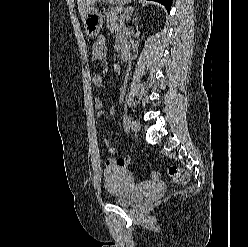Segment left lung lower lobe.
<instances>
[{
    "mask_svg": "<svg viewBox=\"0 0 248 247\" xmlns=\"http://www.w3.org/2000/svg\"><path fill=\"white\" fill-rule=\"evenodd\" d=\"M153 1H157L161 4H163L166 7V9L168 10V12L170 11L172 0H153Z\"/></svg>",
    "mask_w": 248,
    "mask_h": 247,
    "instance_id": "left-lung-lower-lobe-1",
    "label": "left lung lower lobe"
}]
</instances>
